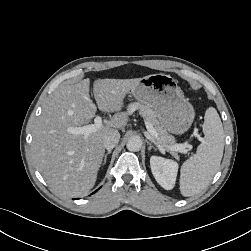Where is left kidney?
Segmentation results:
<instances>
[{"instance_id": "left-kidney-1", "label": "left kidney", "mask_w": 251, "mask_h": 251, "mask_svg": "<svg viewBox=\"0 0 251 251\" xmlns=\"http://www.w3.org/2000/svg\"><path fill=\"white\" fill-rule=\"evenodd\" d=\"M150 167L155 180L164 189H173L178 172V163L171 159L151 156Z\"/></svg>"}]
</instances>
